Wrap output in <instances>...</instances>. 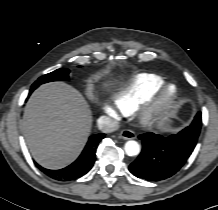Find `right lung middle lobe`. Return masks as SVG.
Here are the masks:
<instances>
[{"label": "right lung middle lobe", "instance_id": "right-lung-middle-lobe-1", "mask_svg": "<svg viewBox=\"0 0 218 210\" xmlns=\"http://www.w3.org/2000/svg\"><path fill=\"white\" fill-rule=\"evenodd\" d=\"M69 80V70L65 68L57 69L51 73L41 76L33 85L32 89L35 90L39 85L51 81H67Z\"/></svg>", "mask_w": 218, "mask_h": 210}]
</instances>
